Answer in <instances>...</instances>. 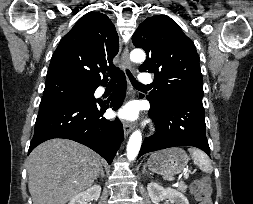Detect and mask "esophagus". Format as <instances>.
<instances>
[{"label":"esophagus","instance_id":"obj_1","mask_svg":"<svg viewBox=\"0 0 253 204\" xmlns=\"http://www.w3.org/2000/svg\"><path fill=\"white\" fill-rule=\"evenodd\" d=\"M122 63L124 66L128 67V68H132V63L130 61L129 58V49L128 47H125V49L122 52ZM129 94L131 96H134V90L133 87L129 84ZM123 129H124V134L125 136H128L132 130L134 129V124L133 123H129V122H125L123 125Z\"/></svg>","mask_w":253,"mask_h":204}]
</instances>
